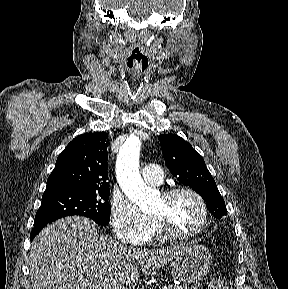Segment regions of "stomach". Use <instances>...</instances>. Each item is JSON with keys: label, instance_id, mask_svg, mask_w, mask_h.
Returning a JSON list of instances; mask_svg holds the SVG:
<instances>
[{"label": "stomach", "instance_id": "1", "mask_svg": "<svg viewBox=\"0 0 288 289\" xmlns=\"http://www.w3.org/2000/svg\"><path fill=\"white\" fill-rule=\"evenodd\" d=\"M212 255L202 245L179 247L178 253L171 260L173 276L184 283L201 280L210 270Z\"/></svg>", "mask_w": 288, "mask_h": 289}]
</instances>
